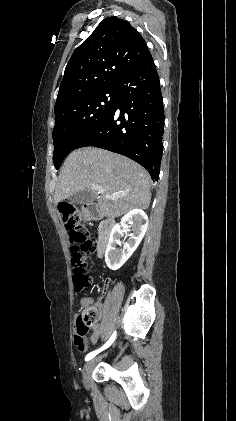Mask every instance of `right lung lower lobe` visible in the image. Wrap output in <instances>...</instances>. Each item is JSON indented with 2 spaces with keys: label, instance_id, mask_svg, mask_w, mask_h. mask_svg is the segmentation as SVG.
Masks as SVG:
<instances>
[{
  "label": "right lung lower lobe",
  "instance_id": "98d812e1",
  "mask_svg": "<svg viewBox=\"0 0 236 421\" xmlns=\"http://www.w3.org/2000/svg\"><path fill=\"white\" fill-rule=\"evenodd\" d=\"M116 88V106L75 149L95 146L127 156L157 181L163 152L164 107L153 58L121 77Z\"/></svg>",
  "mask_w": 236,
  "mask_h": 421
}]
</instances>
